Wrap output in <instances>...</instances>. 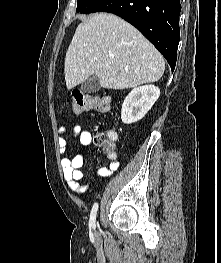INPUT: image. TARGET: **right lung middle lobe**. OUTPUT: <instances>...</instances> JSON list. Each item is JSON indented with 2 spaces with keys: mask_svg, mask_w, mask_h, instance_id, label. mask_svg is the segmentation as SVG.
<instances>
[{
  "mask_svg": "<svg viewBox=\"0 0 221 263\" xmlns=\"http://www.w3.org/2000/svg\"><path fill=\"white\" fill-rule=\"evenodd\" d=\"M104 0H77V12L91 13L93 12Z\"/></svg>",
  "mask_w": 221,
  "mask_h": 263,
  "instance_id": "1",
  "label": "right lung middle lobe"
}]
</instances>
